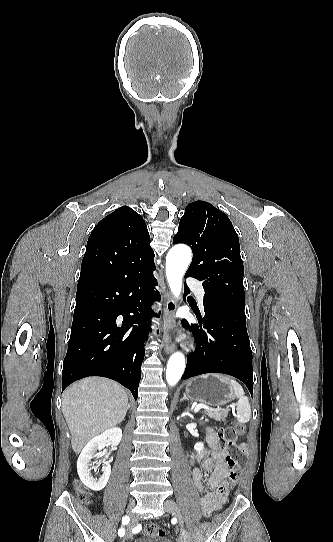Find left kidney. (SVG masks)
Returning a JSON list of instances; mask_svg holds the SVG:
<instances>
[{"label": "left kidney", "mask_w": 333, "mask_h": 542, "mask_svg": "<svg viewBox=\"0 0 333 542\" xmlns=\"http://www.w3.org/2000/svg\"><path fill=\"white\" fill-rule=\"evenodd\" d=\"M194 450H196V452H201V450H204L203 442H197V444L194 446Z\"/></svg>", "instance_id": "5707ae66"}]
</instances>
